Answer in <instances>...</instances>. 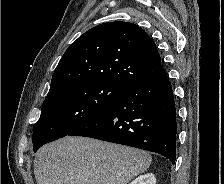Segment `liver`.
Wrapping results in <instances>:
<instances>
[{"instance_id":"obj_1","label":"liver","mask_w":224,"mask_h":184,"mask_svg":"<svg viewBox=\"0 0 224 184\" xmlns=\"http://www.w3.org/2000/svg\"><path fill=\"white\" fill-rule=\"evenodd\" d=\"M151 161L143 150L66 136L39 149L34 174L37 184H128Z\"/></svg>"}]
</instances>
